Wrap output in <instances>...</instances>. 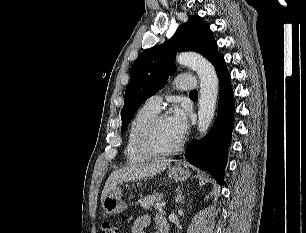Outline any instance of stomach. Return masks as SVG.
<instances>
[{
    "mask_svg": "<svg viewBox=\"0 0 306 233\" xmlns=\"http://www.w3.org/2000/svg\"><path fill=\"white\" fill-rule=\"evenodd\" d=\"M168 176L174 181H185L190 177V172L182 166H174L168 171ZM122 189L115 187L102 201V208L109 215L119 214L127 209V204L122 199Z\"/></svg>",
    "mask_w": 306,
    "mask_h": 233,
    "instance_id": "1",
    "label": "stomach"
}]
</instances>
